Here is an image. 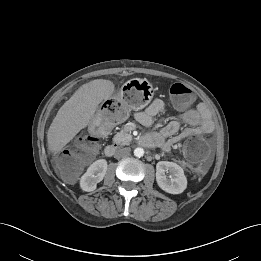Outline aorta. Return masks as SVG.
<instances>
[{"label": "aorta", "instance_id": "aorta-1", "mask_svg": "<svg viewBox=\"0 0 261 261\" xmlns=\"http://www.w3.org/2000/svg\"><path fill=\"white\" fill-rule=\"evenodd\" d=\"M134 155L139 158L142 157L144 155V149L140 147L135 148Z\"/></svg>", "mask_w": 261, "mask_h": 261}]
</instances>
